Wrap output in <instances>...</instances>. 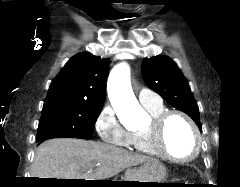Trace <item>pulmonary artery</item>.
I'll return each mask as SVG.
<instances>
[{"instance_id": "pulmonary-artery-1", "label": "pulmonary artery", "mask_w": 240, "mask_h": 187, "mask_svg": "<svg viewBox=\"0 0 240 187\" xmlns=\"http://www.w3.org/2000/svg\"><path fill=\"white\" fill-rule=\"evenodd\" d=\"M138 99L143 106H159L162 104L161 97L146 88H143L138 93Z\"/></svg>"}]
</instances>
